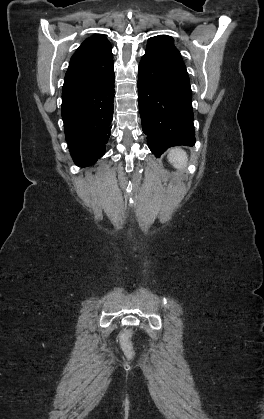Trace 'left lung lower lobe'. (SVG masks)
<instances>
[{"label":"left lung lower lobe","instance_id":"obj_1","mask_svg":"<svg viewBox=\"0 0 264 419\" xmlns=\"http://www.w3.org/2000/svg\"><path fill=\"white\" fill-rule=\"evenodd\" d=\"M138 93L142 129L156 157L169 147L195 144L190 82L170 36L148 40L139 63Z\"/></svg>","mask_w":264,"mask_h":419}]
</instances>
